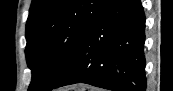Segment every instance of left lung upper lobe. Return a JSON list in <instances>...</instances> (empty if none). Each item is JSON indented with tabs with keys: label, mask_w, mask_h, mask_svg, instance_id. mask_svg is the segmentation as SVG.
<instances>
[{
	"label": "left lung upper lobe",
	"mask_w": 173,
	"mask_h": 91,
	"mask_svg": "<svg viewBox=\"0 0 173 91\" xmlns=\"http://www.w3.org/2000/svg\"><path fill=\"white\" fill-rule=\"evenodd\" d=\"M111 0H33L26 24L28 91L58 85L89 30Z\"/></svg>",
	"instance_id": "5c2ea615"
}]
</instances>
